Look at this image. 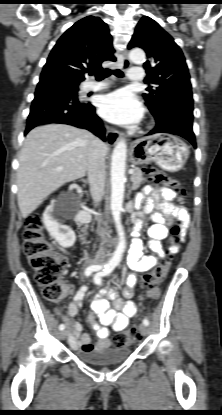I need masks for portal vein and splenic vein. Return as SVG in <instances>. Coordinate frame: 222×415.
<instances>
[{"instance_id": "1", "label": "portal vein and splenic vein", "mask_w": 222, "mask_h": 415, "mask_svg": "<svg viewBox=\"0 0 222 415\" xmlns=\"http://www.w3.org/2000/svg\"><path fill=\"white\" fill-rule=\"evenodd\" d=\"M62 169V167H60V168H58V170H61ZM134 173V170L133 169H130L129 170V174H133Z\"/></svg>"}]
</instances>
